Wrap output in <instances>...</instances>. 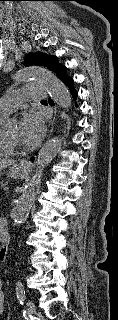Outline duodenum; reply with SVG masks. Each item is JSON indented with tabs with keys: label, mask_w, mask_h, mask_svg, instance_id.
<instances>
[{
	"label": "duodenum",
	"mask_w": 118,
	"mask_h": 320,
	"mask_svg": "<svg viewBox=\"0 0 118 320\" xmlns=\"http://www.w3.org/2000/svg\"><path fill=\"white\" fill-rule=\"evenodd\" d=\"M9 232H8V224L5 218L0 217V241L3 244V247L6 248L9 244ZM5 252L4 250H2Z\"/></svg>",
	"instance_id": "1"
}]
</instances>
